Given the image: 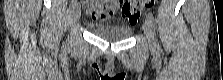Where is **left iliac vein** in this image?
Returning a JSON list of instances; mask_svg holds the SVG:
<instances>
[{"mask_svg":"<svg viewBox=\"0 0 223 80\" xmlns=\"http://www.w3.org/2000/svg\"><path fill=\"white\" fill-rule=\"evenodd\" d=\"M143 30H144L145 35L147 37L149 46L151 48H154L155 47L154 33H153L152 25H151V23L149 22L148 19H146L144 21Z\"/></svg>","mask_w":223,"mask_h":80,"instance_id":"left-iliac-vein-1","label":"left iliac vein"}]
</instances>
